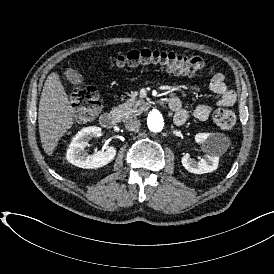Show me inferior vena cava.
I'll use <instances>...</instances> for the list:
<instances>
[{"mask_svg":"<svg viewBox=\"0 0 274 274\" xmlns=\"http://www.w3.org/2000/svg\"><path fill=\"white\" fill-rule=\"evenodd\" d=\"M140 126H141V123L138 119L131 118L125 122V128L129 131L139 130Z\"/></svg>","mask_w":274,"mask_h":274,"instance_id":"1","label":"inferior vena cava"}]
</instances>
